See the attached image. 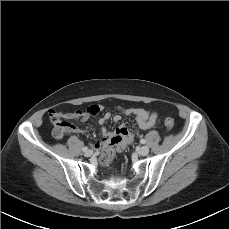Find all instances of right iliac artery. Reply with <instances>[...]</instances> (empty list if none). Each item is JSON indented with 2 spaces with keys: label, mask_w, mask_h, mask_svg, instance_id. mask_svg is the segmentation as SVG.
<instances>
[{
  "label": "right iliac artery",
  "mask_w": 229,
  "mask_h": 229,
  "mask_svg": "<svg viewBox=\"0 0 229 229\" xmlns=\"http://www.w3.org/2000/svg\"><path fill=\"white\" fill-rule=\"evenodd\" d=\"M87 150H88V147H83V148H82V151H83V152H86Z\"/></svg>",
  "instance_id": "82829eb1"
}]
</instances>
